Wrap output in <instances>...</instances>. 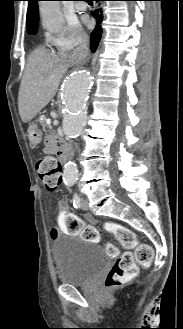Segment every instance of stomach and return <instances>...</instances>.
Returning <instances> with one entry per match:
<instances>
[{
  "label": "stomach",
  "mask_w": 183,
  "mask_h": 329,
  "mask_svg": "<svg viewBox=\"0 0 183 329\" xmlns=\"http://www.w3.org/2000/svg\"><path fill=\"white\" fill-rule=\"evenodd\" d=\"M28 137L32 145H37L42 140V132L36 123L30 122L28 127Z\"/></svg>",
  "instance_id": "obj_1"
}]
</instances>
